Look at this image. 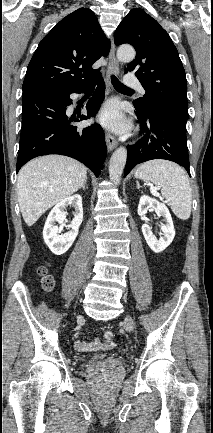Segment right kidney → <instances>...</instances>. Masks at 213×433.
<instances>
[{
  "label": "right kidney",
  "mask_w": 213,
  "mask_h": 433,
  "mask_svg": "<svg viewBox=\"0 0 213 433\" xmlns=\"http://www.w3.org/2000/svg\"><path fill=\"white\" fill-rule=\"evenodd\" d=\"M71 205L75 208L74 218L69 225L71 229L67 233L59 235L55 222L61 224L65 220L67 214L65 208ZM82 221V197L79 194L65 198L51 210L44 225L43 238L46 245L55 255L64 254L72 246Z\"/></svg>",
  "instance_id": "1"
}]
</instances>
